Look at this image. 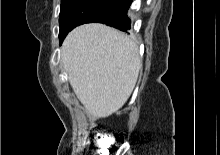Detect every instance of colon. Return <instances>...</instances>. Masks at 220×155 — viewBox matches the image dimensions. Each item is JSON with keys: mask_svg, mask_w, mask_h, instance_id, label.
Segmentation results:
<instances>
[{"mask_svg": "<svg viewBox=\"0 0 220 155\" xmlns=\"http://www.w3.org/2000/svg\"><path fill=\"white\" fill-rule=\"evenodd\" d=\"M107 141H110L109 138H106ZM95 148H108V143H95ZM101 155H108L107 152H102Z\"/></svg>", "mask_w": 220, "mask_h": 155, "instance_id": "1", "label": "colon"}]
</instances>
